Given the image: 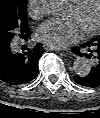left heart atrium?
Instances as JSON below:
<instances>
[{"mask_svg": "<svg viewBox=\"0 0 100 118\" xmlns=\"http://www.w3.org/2000/svg\"><path fill=\"white\" fill-rule=\"evenodd\" d=\"M36 36L46 45L62 48L77 42L82 36V28L74 18L51 19L37 29Z\"/></svg>", "mask_w": 100, "mask_h": 118, "instance_id": "39dd6f15", "label": "left heart atrium"}]
</instances>
